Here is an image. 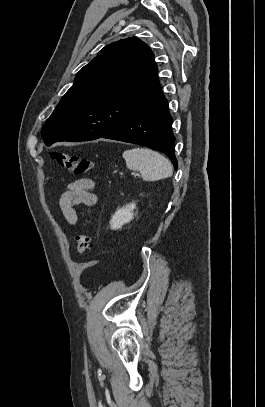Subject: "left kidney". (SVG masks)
Returning <instances> with one entry per match:
<instances>
[{"label": "left kidney", "instance_id": "5707ae66", "mask_svg": "<svg viewBox=\"0 0 265 407\" xmlns=\"http://www.w3.org/2000/svg\"><path fill=\"white\" fill-rule=\"evenodd\" d=\"M134 209H136L135 203L127 204L126 206L118 209L111 218V229H121L124 224L129 223L134 217Z\"/></svg>", "mask_w": 265, "mask_h": 407}]
</instances>
